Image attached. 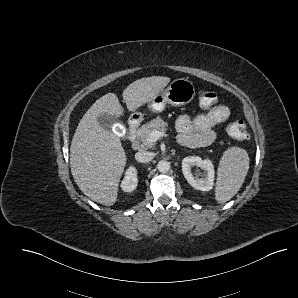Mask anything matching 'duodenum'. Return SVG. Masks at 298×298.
<instances>
[{"instance_id":"duodenum-1","label":"duodenum","mask_w":298,"mask_h":298,"mask_svg":"<svg viewBox=\"0 0 298 298\" xmlns=\"http://www.w3.org/2000/svg\"><path fill=\"white\" fill-rule=\"evenodd\" d=\"M137 128H138V122L136 120H131L129 123L128 139L131 142L133 149L135 150L139 149V146H140L136 139ZM178 141L181 145L187 146V147H193L198 145L197 140L190 136L180 135L178 138Z\"/></svg>"}]
</instances>
